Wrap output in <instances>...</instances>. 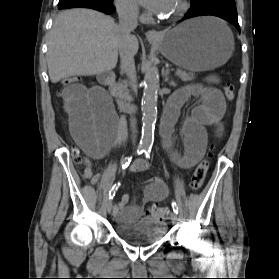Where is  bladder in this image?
I'll list each match as a JSON object with an SVG mask.
<instances>
[{"mask_svg":"<svg viewBox=\"0 0 279 279\" xmlns=\"http://www.w3.org/2000/svg\"><path fill=\"white\" fill-rule=\"evenodd\" d=\"M114 230L120 239L129 244L148 245L165 236L167 224L163 220L143 217L132 225L117 223Z\"/></svg>","mask_w":279,"mask_h":279,"instance_id":"31cf9c89","label":"bladder"}]
</instances>
